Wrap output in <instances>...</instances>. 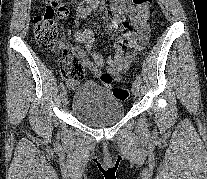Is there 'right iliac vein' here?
I'll return each mask as SVG.
<instances>
[{
	"label": "right iliac vein",
	"instance_id": "right-iliac-vein-1",
	"mask_svg": "<svg viewBox=\"0 0 207 179\" xmlns=\"http://www.w3.org/2000/svg\"><path fill=\"white\" fill-rule=\"evenodd\" d=\"M61 99H62V103L64 105L68 104V96H67V92L65 90H63L61 93Z\"/></svg>",
	"mask_w": 207,
	"mask_h": 179
}]
</instances>
